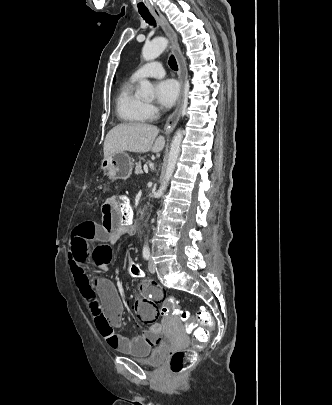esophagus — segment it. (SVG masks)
Instances as JSON below:
<instances>
[{"mask_svg":"<svg viewBox=\"0 0 332 405\" xmlns=\"http://www.w3.org/2000/svg\"><path fill=\"white\" fill-rule=\"evenodd\" d=\"M151 13L157 19V21L161 25L162 29L164 30L165 34L170 39L171 49L177 60L178 67H179V81H180L181 89H180L177 106H176L174 112L168 117V119L165 123V126H164V132L170 133L176 127V125L179 121V118H180L182 104H183L184 87H185V82H186V78H187V70H186V66H185V62H184L182 53L178 46V38H177L175 31L170 26V24L168 23L166 18L158 10H152Z\"/></svg>","mask_w":332,"mask_h":405,"instance_id":"1","label":"esophagus"}]
</instances>
